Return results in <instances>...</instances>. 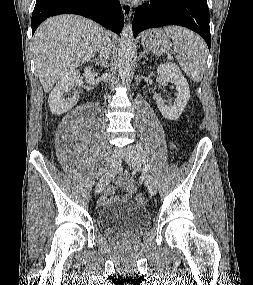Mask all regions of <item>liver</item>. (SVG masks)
I'll use <instances>...</instances> for the list:
<instances>
[{
    "label": "liver",
    "mask_w": 253,
    "mask_h": 285,
    "mask_svg": "<svg viewBox=\"0 0 253 285\" xmlns=\"http://www.w3.org/2000/svg\"><path fill=\"white\" fill-rule=\"evenodd\" d=\"M115 35L96 22L77 15H59L44 21L34 37V56L40 82L49 92L57 80L88 62Z\"/></svg>",
    "instance_id": "obj_1"
}]
</instances>
